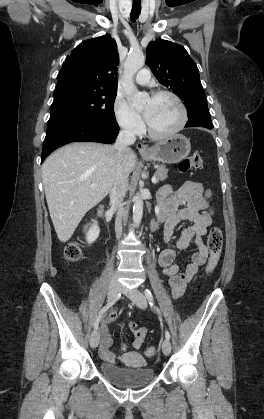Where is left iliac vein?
Instances as JSON below:
<instances>
[{
	"label": "left iliac vein",
	"mask_w": 264,
	"mask_h": 419,
	"mask_svg": "<svg viewBox=\"0 0 264 419\" xmlns=\"http://www.w3.org/2000/svg\"><path fill=\"white\" fill-rule=\"evenodd\" d=\"M121 291L123 294H125L126 296H128L134 304H136L137 307L141 308V309H145L147 307V300L146 297L144 296V294L139 291L138 289H126V288H121ZM162 351L165 355H169L171 352V343L168 339H165L162 342Z\"/></svg>",
	"instance_id": "4c4485c4"
}]
</instances>
